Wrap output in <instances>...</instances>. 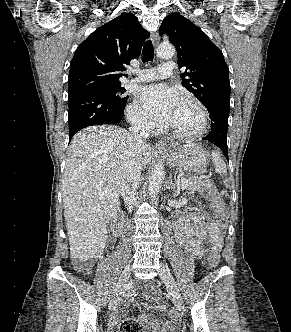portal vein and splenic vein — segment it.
Returning a JSON list of instances; mask_svg holds the SVG:
<instances>
[{
	"mask_svg": "<svg viewBox=\"0 0 291 332\" xmlns=\"http://www.w3.org/2000/svg\"><path fill=\"white\" fill-rule=\"evenodd\" d=\"M188 183H189V180H184V181H182L181 182V189L182 190H184L186 187H187V185H188Z\"/></svg>",
	"mask_w": 291,
	"mask_h": 332,
	"instance_id": "18ae733b",
	"label": "portal vein and splenic vein"
}]
</instances>
